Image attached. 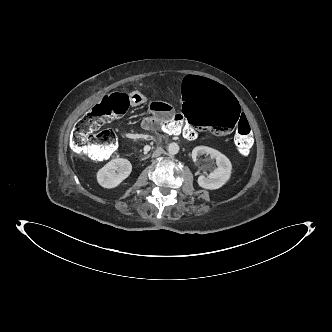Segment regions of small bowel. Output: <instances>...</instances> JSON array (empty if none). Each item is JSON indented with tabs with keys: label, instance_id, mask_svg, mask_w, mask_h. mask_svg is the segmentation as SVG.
Returning a JSON list of instances; mask_svg holds the SVG:
<instances>
[{
	"label": "small bowel",
	"instance_id": "small-bowel-1",
	"mask_svg": "<svg viewBox=\"0 0 332 332\" xmlns=\"http://www.w3.org/2000/svg\"><path fill=\"white\" fill-rule=\"evenodd\" d=\"M135 94L138 97V101L134 100L133 102L134 105H139L146 102V98L143 94L139 92ZM184 110L187 113V106H184ZM149 112H150L149 115L146 116L141 123V127L146 131H154L157 129L158 126L157 127L153 126V121L156 118L159 119L161 123V121H171L175 117V112L173 110L172 105L165 101L151 102L149 105ZM186 130H188L192 134L193 138L197 136L196 131L191 127H186ZM212 134L216 137H223L228 135L229 133L226 135H217L212 132Z\"/></svg>",
	"mask_w": 332,
	"mask_h": 332
}]
</instances>
